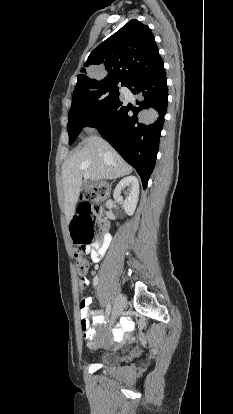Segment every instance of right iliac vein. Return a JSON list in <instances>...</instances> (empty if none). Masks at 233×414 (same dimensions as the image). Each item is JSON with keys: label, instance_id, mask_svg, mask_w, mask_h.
I'll return each instance as SVG.
<instances>
[{"label": "right iliac vein", "instance_id": "obj_1", "mask_svg": "<svg viewBox=\"0 0 233 414\" xmlns=\"http://www.w3.org/2000/svg\"><path fill=\"white\" fill-rule=\"evenodd\" d=\"M126 306V298L123 295H118L115 299V303H114V307H113V322L114 320H116V318H118L124 308Z\"/></svg>", "mask_w": 233, "mask_h": 414}]
</instances>
